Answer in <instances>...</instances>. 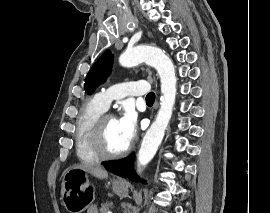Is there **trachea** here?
Listing matches in <instances>:
<instances>
[{"label":"trachea","mask_w":270,"mask_h":213,"mask_svg":"<svg viewBox=\"0 0 270 213\" xmlns=\"http://www.w3.org/2000/svg\"><path fill=\"white\" fill-rule=\"evenodd\" d=\"M154 101H155V94L153 92H151L146 96V102L147 103H154Z\"/></svg>","instance_id":"3493384b"}]
</instances>
